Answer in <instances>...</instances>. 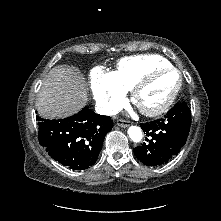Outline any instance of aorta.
Listing matches in <instances>:
<instances>
[{
	"mask_svg": "<svg viewBox=\"0 0 221 221\" xmlns=\"http://www.w3.org/2000/svg\"><path fill=\"white\" fill-rule=\"evenodd\" d=\"M128 135L133 142H140L143 137L142 130L137 126L129 127Z\"/></svg>",
	"mask_w": 221,
	"mask_h": 221,
	"instance_id": "obj_1",
	"label": "aorta"
}]
</instances>
